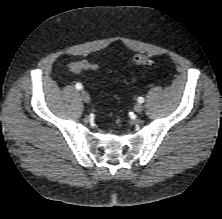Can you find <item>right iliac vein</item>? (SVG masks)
<instances>
[{
  "instance_id": "obj_1",
  "label": "right iliac vein",
  "mask_w": 222,
  "mask_h": 219,
  "mask_svg": "<svg viewBox=\"0 0 222 219\" xmlns=\"http://www.w3.org/2000/svg\"><path fill=\"white\" fill-rule=\"evenodd\" d=\"M80 94H81L82 100L85 103H89L90 102V96H89V94L86 91L82 90Z\"/></svg>"
}]
</instances>
